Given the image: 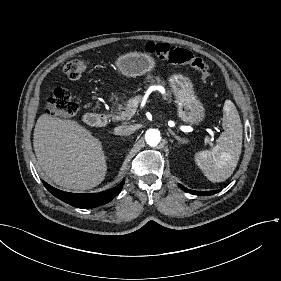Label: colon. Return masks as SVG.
Instances as JSON below:
<instances>
[{
    "instance_id": "colon-1",
    "label": "colon",
    "mask_w": 281,
    "mask_h": 281,
    "mask_svg": "<svg viewBox=\"0 0 281 281\" xmlns=\"http://www.w3.org/2000/svg\"><path fill=\"white\" fill-rule=\"evenodd\" d=\"M144 50L155 55L162 61L171 64H189L199 71L204 79H209L210 71L206 63L194 56L190 51L172 46L168 43L147 42L143 44ZM88 59L83 57L74 58L64 66L65 75L72 80L85 75L88 69ZM49 116L71 118L77 112V105L68 91L59 90L50 97L46 104Z\"/></svg>"
}]
</instances>
